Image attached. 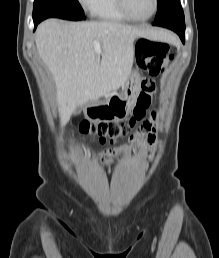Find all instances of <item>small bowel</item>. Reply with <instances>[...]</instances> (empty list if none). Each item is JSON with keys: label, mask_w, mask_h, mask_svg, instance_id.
I'll return each mask as SVG.
<instances>
[{"label": "small bowel", "mask_w": 219, "mask_h": 258, "mask_svg": "<svg viewBox=\"0 0 219 258\" xmlns=\"http://www.w3.org/2000/svg\"><path fill=\"white\" fill-rule=\"evenodd\" d=\"M153 117H154V115H153ZM150 129H151V125L148 123H144L141 126L139 134L148 132V131H150ZM136 139H137V136H134V137H132V139L128 145L119 147L116 149L108 148L102 152L103 155H105L107 158H109V160L103 162V164L106 166V168L108 170H112L114 168V166H115L114 160L116 158L124 156L134 150V145H135ZM153 141H154V136L150 135L149 142L153 143Z\"/></svg>", "instance_id": "c3829d8e"}]
</instances>
